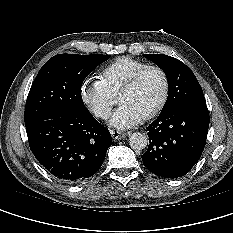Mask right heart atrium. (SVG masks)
Instances as JSON below:
<instances>
[{
    "label": "right heart atrium",
    "mask_w": 233,
    "mask_h": 233,
    "mask_svg": "<svg viewBox=\"0 0 233 233\" xmlns=\"http://www.w3.org/2000/svg\"><path fill=\"white\" fill-rule=\"evenodd\" d=\"M80 97L89 110L98 118L109 116L114 97L100 78H88L81 84Z\"/></svg>",
    "instance_id": "d8ad5b80"
}]
</instances>
